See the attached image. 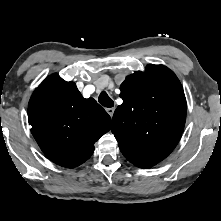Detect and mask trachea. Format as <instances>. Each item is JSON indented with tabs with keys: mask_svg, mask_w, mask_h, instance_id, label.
Returning a JSON list of instances; mask_svg holds the SVG:
<instances>
[{
	"mask_svg": "<svg viewBox=\"0 0 221 221\" xmlns=\"http://www.w3.org/2000/svg\"><path fill=\"white\" fill-rule=\"evenodd\" d=\"M98 101L102 106L107 108H111L114 106V101L109 97V95L105 91L101 92Z\"/></svg>",
	"mask_w": 221,
	"mask_h": 221,
	"instance_id": "3493384b",
	"label": "trachea"
}]
</instances>
